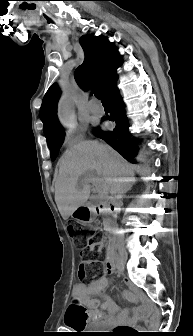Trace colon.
Here are the masks:
<instances>
[{
  "mask_svg": "<svg viewBox=\"0 0 193 336\" xmlns=\"http://www.w3.org/2000/svg\"><path fill=\"white\" fill-rule=\"evenodd\" d=\"M67 228L71 237H73L76 244L82 249V262L78 273L80 278H85L97 262V259L101 254V247L94 235H90L86 240H84L75 233V226L73 224L70 223ZM74 306L75 308L82 307L79 302H75ZM127 330L129 329H119L121 332Z\"/></svg>",
  "mask_w": 193,
  "mask_h": 336,
  "instance_id": "colon-1",
  "label": "colon"
}]
</instances>
